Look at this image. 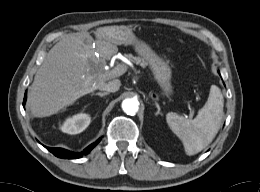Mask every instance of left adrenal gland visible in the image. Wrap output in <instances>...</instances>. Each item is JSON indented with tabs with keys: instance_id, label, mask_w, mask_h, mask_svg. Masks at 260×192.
I'll return each instance as SVG.
<instances>
[{
	"instance_id": "a2214340",
	"label": "left adrenal gland",
	"mask_w": 260,
	"mask_h": 192,
	"mask_svg": "<svg viewBox=\"0 0 260 192\" xmlns=\"http://www.w3.org/2000/svg\"><path fill=\"white\" fill-rule=\"evenodd\" d=\"M155 105H156V107H157V112L155 113V115H162V113L160 112V106H159V104L156 102L155 103Z\"/></svg>"
}]
</instances>
